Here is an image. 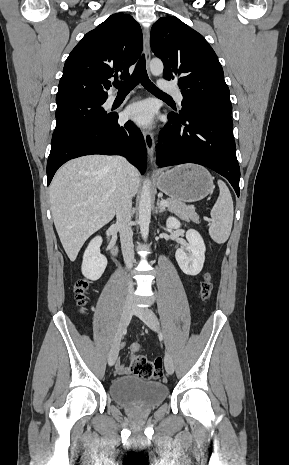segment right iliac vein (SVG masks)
Here are the masks:
<instances>
[{
    "mask_svg": "<svg viewBox=\"0 0 289 465\" xmlns=\"http://www.w3.org/2000/svg\"><path fill=\"white\" fill-rule=\"evenodd\" d=\"M133 311H134V307H133L132 301H126L123 306L118 332L112 344V347L110 349L109 356H108V363L110 366L114 365L117 359L122 334L131 320Z\"/></svg>",
    "mask_w": 289,
    "mask_h": 465,
    "instance_id": "obj_1",
    "label": "right iliac vein"
}]
</instances>
